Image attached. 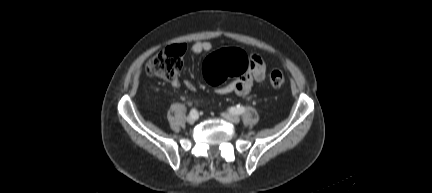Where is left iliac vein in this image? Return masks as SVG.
<instances>
[{
  "instance_id": "4c4485c4",
  "label": "left iliac vein",
  "mask_w": 432,
  "mask_h": 193,
  "mask_svg": "<svg viewBox=\"0 0 432 193\" xmlns=\"http://www.w3.org/2000/svg\"><path fill=\"white\" fill-rule=\"evenodd\" d=\"M222 116H223L227 121L232 122V123H235V124L239 123V121H240V117L237 116V115H235V114H231V113H223Z\"/></svg>"
}]
</instances>
